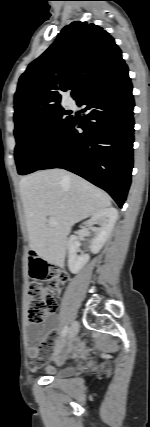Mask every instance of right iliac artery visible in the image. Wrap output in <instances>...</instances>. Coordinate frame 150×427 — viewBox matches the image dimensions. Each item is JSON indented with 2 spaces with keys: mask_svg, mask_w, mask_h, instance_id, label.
Segmentation results:
<instances>
[{
  "mask_svg": "<svg viewBox=\"0 0 150 427\" xmlns=\"http://www.w3.org/2000/svg\"><path fill=\"white\" fill-rule=\"evenodd\" d=\"M68 331H69L68 326H65L62 330V336H65L68 333Z\"/></svg>",
  "mask_w": 150,
  "mask_h": 427,
  "instance_id": "obj_1",
  "label": "right iliac artery"
}]
</instances>
